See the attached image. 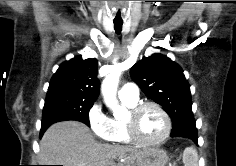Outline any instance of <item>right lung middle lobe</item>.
Instances as JSON below:
<instances>
[{"mask_svg":"<svg viewBox=\"0 0 236 166\" xmlns=\"http://www.w3.org/2000/svg\"><path fill=\"white\" fill-rule=\"evenodd\" d=\"M94 101L69 97L46 98L43 108L41 130L63 120H76L90 126L89 111Z\"/></svg>","mask_w":236,"mask_h":166,"instance_id":"obj_1","label":"right lung middle lobe"}]
</instances>
